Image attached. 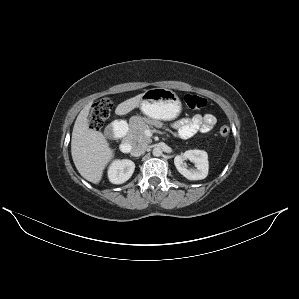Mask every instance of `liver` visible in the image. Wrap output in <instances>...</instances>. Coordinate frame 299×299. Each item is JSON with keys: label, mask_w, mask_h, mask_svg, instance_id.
Returning <instances> with one entry per match:
<instances>
[{"label": "liver", "mask_w": 299, "mask_h": 299, "mask_svg": "<svg viewBox=\"0 0 299 299\" xmlns=\"http://www.w3.org/2000/svg\"><path fill=\"white\" fill-rule=\"evenodd\" d=\"M143 94L120 103L115 113L125 115L139 106ZM91 102L87 104L77 116L71 139V154L80 175L92 183H99L107 164L114 157V150L110 148L102 132L89 129L88 115Z\"/></svg>", "instance_id": "obj_1"}]
</instances>
